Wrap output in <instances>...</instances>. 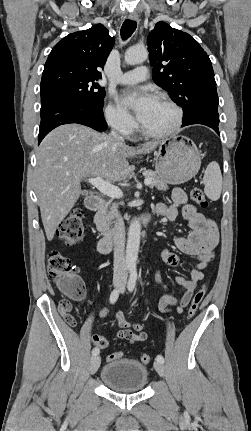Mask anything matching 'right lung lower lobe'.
<instances>
[{
    "label": "right lung lower lobe",
    "instance_id": "obj_1",
    "mask_svg": "<svg viewBox=\"0 0 251 431\" xmlns=\"http://www.w3.org/2000/svg\"><path fill=\"white\" fill-rule=\"evenodd\" d=\"M41 123L38 144L54 128L69 123H78L97 131H105L107 124L103 110L66 99H53L41 105Z\"/></svg>",
    "mask_w": 251,
    "mask_h": 431
}]
</instances>
